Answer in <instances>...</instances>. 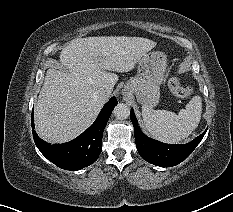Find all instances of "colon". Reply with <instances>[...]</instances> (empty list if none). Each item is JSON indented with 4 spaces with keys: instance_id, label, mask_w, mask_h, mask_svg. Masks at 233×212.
<instances>
[{
    "instance_id": "obj_1",
    "label": "colon",
    "mask_w": 233,
    "mask_h": 212,
    "mask_svg": "<svg viewBox=\"0 0 233 212\" xmlns=\"http://www.w3.org/2000/svg\"><path fill=\"white\" fill-rule=\"evenodd\" d=\"M168 86L170 91L177 97L187 98L192 94V89L190 87L183 86L180 82V79L176 76L172 77Z\"/></svg>"
}]
</instances>
